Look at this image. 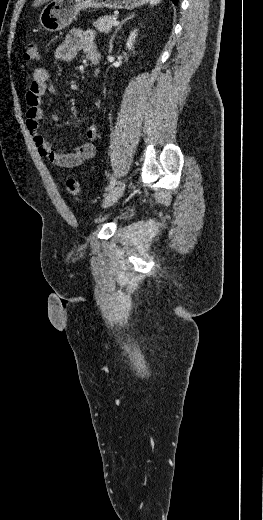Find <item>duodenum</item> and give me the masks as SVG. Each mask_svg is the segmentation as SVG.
Segmentation results:
<instances>
[{"instance_id": "obj_1", "label": "duodenum", "mask_w": 263, "mask_h": 520, "mask_svg": "<svg viewBox=\"0 0 263 520\" xmlns=\"http://www.w3.org/2000/svg\"><path fill=\"white\" fill-rule=\"evenodd\" d=\"M89 59L91 60V62L96 66V69H95V75L97 76L99 74V68H98V64H99V54L94 52L92 53L90 56H89Z\"/></svg>"}]
</instances>
